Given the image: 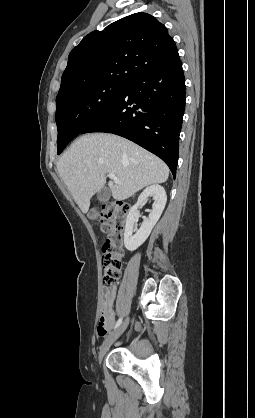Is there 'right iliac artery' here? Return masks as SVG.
Wrapping results in <instances>:
<instances>
[{
  "instance_id": "right-iliac-artery-1",
  "label": "right iliac artery",
  "mask_w": 255,
  "mask_h": 418,
  "mask_svg": "<svg viewBox=\"0 0 255 418\" xmlns=\"http://www.w3.org/2000/svg\"><path fill=\"white\" fill-rule=\"evenodd\" d=\"M121 323H122V317H120V318L118 319V321L116 322V324H115V326H114V329L118 328V327L121 325Z\"/></svg>"
}]
</instances>
